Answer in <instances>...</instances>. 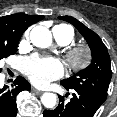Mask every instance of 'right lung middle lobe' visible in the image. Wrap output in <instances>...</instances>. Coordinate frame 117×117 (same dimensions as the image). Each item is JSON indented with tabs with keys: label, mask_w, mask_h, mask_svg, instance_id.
<instances>
[{
	"label": "right lung middle lobe",
	"mask_w": 117,
	"mask_h": 117,
	"mask_svg": "<svg viewBox=\"0 0 117 117\" xmlns=\"http://www.w3.org/2000/svg\"><path fill=\"white\" fill-rule=\"evenodd\" d=\"M18 39H0V60L3 58L8 57L9 55L15 54L17 46H18ZM0 68V72H1Z\"/></svg>",
	"instance_id": "obj_1"
}]
</instances>
